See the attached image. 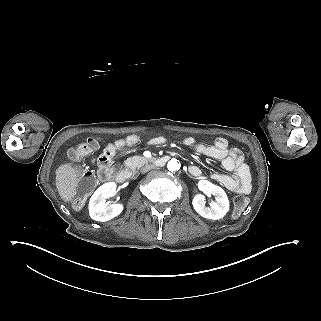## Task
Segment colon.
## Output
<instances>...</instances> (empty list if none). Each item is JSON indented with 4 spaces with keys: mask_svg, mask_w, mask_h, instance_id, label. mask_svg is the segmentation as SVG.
I'll return each instance as SVG.
<instances>
[{
    "mask_svg": "<svg viewBox=\"0 0 321 321\" xmlns=\"http://www.w3.org/2000/svg\"><path fill=\"white\" fill-rule=\"evenodd\" d=\"M100 140L97 137L88 138L86 142H83L73 147L69 156L72 160L78 161L83 157L93 154L99 147ZM95 186V178L91 173H85L77 188V204H81L85 197L92 191ZM233 215L238 217L242 214L247 206V199L244 196H236L233 204Z\"/></svg>",
    "mask_w": 321,
    "mask_h": 321,
    "instance_id": "colon-1",
    "label": "colon"
}]
</instances>
